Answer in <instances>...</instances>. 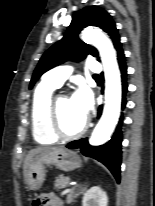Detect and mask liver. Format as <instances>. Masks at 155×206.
I'll return each instance as SVG.
<instances>
[{"instance_id":"1","label":"liver","mask_w":155,"mask_h":206,"mask_svg":"<svg viewBox=\"0 0 155 206\" xmlns=\"http://www.w3.org/2000/svg\"><path fill=\"white\" fill-rule=\"evenodd\" d=\"M55 147H38L29 151L25 161H24V177L26 176L28 167L33 159V157L41 152L55 150Z\"/></svg>"}]
</instances>
